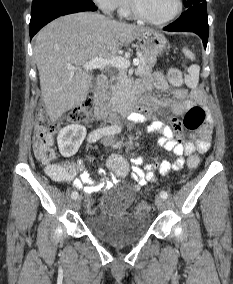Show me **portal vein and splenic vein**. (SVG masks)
Returning a JSON list of instances; mask_svg holds the SVG:
<instances>
[{"mask_svg": "<svg viewBox=\"0 0 233 284\" xmlns=\"http://www.w3.org/2000/svg\"><path fill=\"white\" fill-rule=\"evenodd\" d=\"M133 64L135 66H138L140 64V60L134 59ZM107 66H112V67H116V68H119V69H127L128 67H130V61L123 58V57H114V58H111V59H103V58H100V57L99 58L96 57V58L89 60L85 64H83L81 68H83L86 71H89V70H93V69H102V68H105ZM68 69L69 70H76V69H80V67L68 65Z\"/></svg>", "mask_w": 233, "mask_h": 284, "instance_id": "portal-vein-and-splenic-vein-1", "label": "portal vein and splenic vein"}]
</instances>
